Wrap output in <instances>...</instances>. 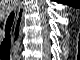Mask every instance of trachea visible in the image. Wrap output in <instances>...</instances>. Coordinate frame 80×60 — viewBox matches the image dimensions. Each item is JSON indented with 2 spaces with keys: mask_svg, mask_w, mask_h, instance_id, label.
<instances>
[{
  "mask_svg": "<svg viewBox=\"0 0 80 60\" xmlns=\"http://www.w3.org/2000/svg\"><path fill=\"white\" fill-rule=\"evenodd\" d=\"M14 19V12L12 11L7 19L5 26V38L1 44L0 52L1 55L10 57V49H11V27Z\"/></svg>",
  "mask_w": 80,
  "mask_h": 60,
  "instance_id": "1",
  "label": "trachea"
}]
</instances>
